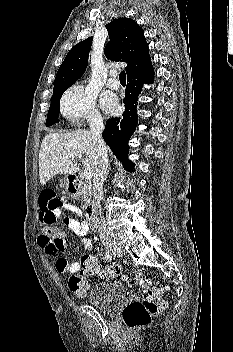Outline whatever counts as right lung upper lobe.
<instances>
[{"label":"right lung upper lobe","mask_w":233,"mask_h":352,"mask_svg":"<svg viewBox=\"0 0 233 352\" xmlns=\"http://www.w3.org/2000/svg\"><path fill=\"white\" fill-rule=\"evenodd\" d=\"M111 41L104 49L105 56L115 61L126 62L127 79L140 76L150 69L152 64L144 31L129 18H119L106 25ZM93 37H89L75 45L61 64L55 80L54 88L71 86L84 73Z\"/></svg>","instance_id":"1"}]
</instances>
